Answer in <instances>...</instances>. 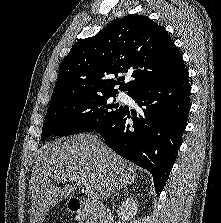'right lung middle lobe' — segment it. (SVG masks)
<instances>
[{"instance_id": "right-lung-middle-lobe-1", "label": "right lung middle lobe", "mask_w": 221, "mask_h": 223, "mask_svg": "<svg viewBox=\"0 0 221 223\" xmlns=\"http://www.w3.org/2000/svg\"><path fill=\"white\" fill-rule=\"evenodd\" d=\"M116 93L83 94L51 102L43 124L41 140L51 134L69 136L93 131L110 122L125 107L111 104Z\"/></svg>"}]
</instances>
